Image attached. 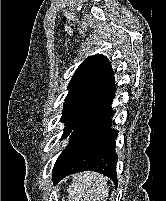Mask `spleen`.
<instances>
[{"label":"spleen","instance_id":"1","mask_svg":"<svg viewBox=\"0 0 166 201\" xmlns=\"http://www.w3.org/2000/svg\"><path fill=\"white\" fill-rule=\"evenodd\" d=\"M67 191L69 201H106L109 195L104 177L94 172L77 175Z\"/></svg>","mask_w":166,"mask_h":201}]
</instances>
